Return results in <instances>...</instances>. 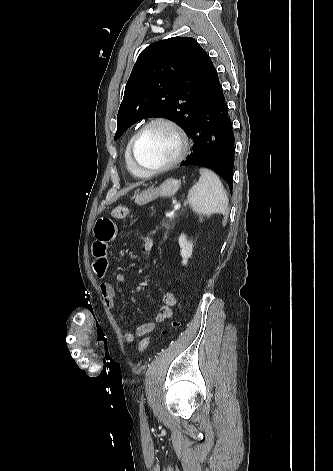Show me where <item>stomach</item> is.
Returning a JSON list of instances; mask_svg holds the SVG:
<instances>
[{"label":"stomach","mask_w":333,"mask_h":471,"mask_svg":"<svg viewBox=\"0 0 333 471\" xmlns=\"http://www.w3.org/2000/svg\"><path fill=\"white\" fill-rule=\"evenodd\" d=\"M180 184L179 180L173 178L167 179L158 187H149L138 193L135 197V203L145 205L158 197H171L178 191Z\"/></svg>","instance_id":"stomach-1"}]
</instances>
